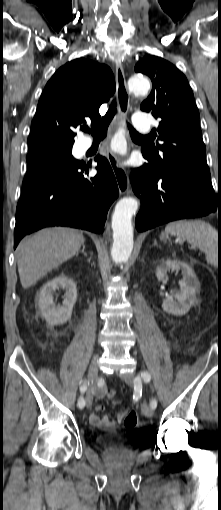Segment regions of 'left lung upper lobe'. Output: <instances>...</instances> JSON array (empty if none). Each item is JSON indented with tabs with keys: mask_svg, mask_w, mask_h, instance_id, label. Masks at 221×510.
I'll use <instances>...</instances> for the list:
<instances>
[{
	"mask_svg": "<svg viewBox=\"0 0 221 510\" xmlns=\"http://www.w3.org/2000/svg\"><path fill=\"white\" fill-rule=\"evenodd\" d=\"M135 71L148 75L153 83L141 110L161 119L154 136L161 143L152 140L142 148L153 168L167 174L210 179L199 111L186 77L174 65L153 55L141 59Z\"/></svg>",
	"mask_w": 221,
	"mask_h": 510,
	"instance_id": "1",
	"label": "left lung upper lobe"
}]
</instances>
